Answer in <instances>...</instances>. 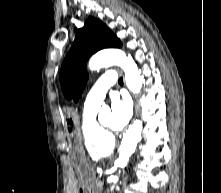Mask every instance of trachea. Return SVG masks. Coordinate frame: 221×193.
I'll return each instance as SVG.
<instances>
[{
  "instance_id": "obj_1",
  "label": "trachea",
  "mask_w": 221,
  "mask_h": 193,
  "mask_svg": "<svg viewBox=\"0 0 221 193\" xmlns=\"http://www.w3.org/2000/svg\"><path fill=\"white\" fill-rule=\"evenodd\" d=\"M118 82H119V84H123V79H122V77L119 78Z\"/></svg>"
}]
</instances>
